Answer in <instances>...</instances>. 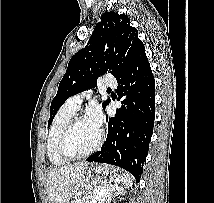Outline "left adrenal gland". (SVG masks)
I'll list each match as a JSON object with an SVG mask.
<instances>
[{"instance_id":"left-adrenal-gland-1","label":"left adrenal gland","mask_w":214,"mask_h":203,"mask_svg":"<svg viewBox=\"0 0 214 203\" xmlns=\"http://www.w3.org/2000/svg\"><path fill=\"white\" fill-rule=\"evenodd\" d=\"M118 194H120V193H115V195H118Z\"/></svg>"}]
</instances>
